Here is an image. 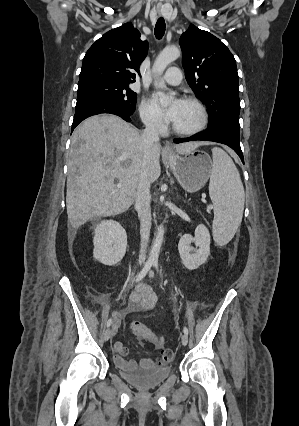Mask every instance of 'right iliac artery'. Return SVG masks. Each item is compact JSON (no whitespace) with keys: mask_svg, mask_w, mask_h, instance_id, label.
<instances>
[{"mask_svg":"<svg viewBox=\"0 0 299 426\" xmlns=\"http://www.w3.org/2000/svg\"><path fill=\"white\" fill-rule=\"evenodd\" d=\"M153 262L152 261H147L145 266L143 267V269L141 270V272L138 274V276L136 277V282L141 281L147 274V272L150 270L151 266H152ZM112 324V319L110 318L107 323L106 326L109 327Z\"/></svg>","mask_w":299,"mask_h":426,"instance_id":"right-iliac-artery-1","label":"right iliac artery"}]
</instances>
